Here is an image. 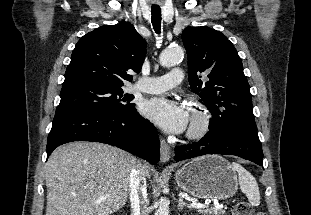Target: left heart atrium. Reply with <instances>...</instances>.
<instances>
[{"label":"left heart atrium","mask_w":311,"mask_h":215,"mask_svg":"<svg viewBox=\"0 0 311 215\" xmlns=\"http://www.w3.org/2000/svg\"><path fill=\"white\" fill-rule=\"evenodd\" d=\"M141 110L144 116L167 133L183 132L190 120L189 112L185 106L165 97H154L147 100L143 103Z\"/></svg>","instance_id":"obj_1"}]
</instances>
